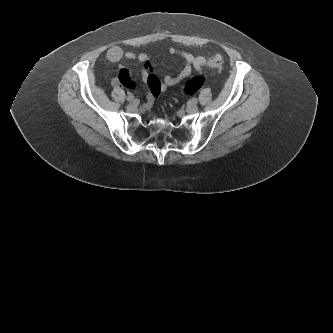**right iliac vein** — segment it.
<instances>
[{"mask_svg":"<svg viewBox=\"0 0 333 333\" xmlns=\"http://www.w3.org/2000/svg\"><path fill=\"white\" fill-rule=\"evenodd\" d=\"M127 110H128L129 112H135V111L137 110V106H136V104H129V105L127 106Z\"/></svg>","mask_w":333,"mask_h":333,"instance_id":"obj_1","label":"right iliac vein"}]
</instances>
